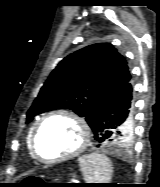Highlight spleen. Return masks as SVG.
Listing matches in <instances>:
<instances>
[{
	"label": "spleen",
	"mask_w": 160,
	"mask_h": 187,
	"mask_svg": "<svg viewBox=\"0 0 160 187\" xmlns=\"http://www.w3.org/2000/svg\"><path fill=\"white\" fill-rule=\"evenodd\" d=\"M83 178L88 183H108L111 180L112 164L102 154H88L79 158Z\"/></svg>",
	"instance_id": "spleen-1"
}]
</instances>
